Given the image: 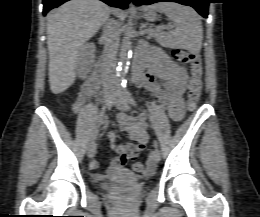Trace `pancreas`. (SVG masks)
Returning a JSON list of instances; mask_svg holds the SVG:
<instances>
[{
  "label": "pancreas",
  "mask_w": 260,
  "mask_h": 217,
  "mask_svg": "<svg viewBox=\"0 0 260 217\" xmlns=\"http://www.w3.org/2000/svg\"><path fill=\"white\" fill-rule=\"evenodd\" d=\"M155 36H156V34L154 33V31H151V32L148 33L146 38L151 39L152 37H155Z\"/></svg>",
  "instance_id": "pancreas-1"
}]
</instances>
